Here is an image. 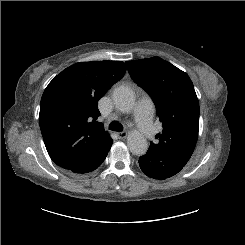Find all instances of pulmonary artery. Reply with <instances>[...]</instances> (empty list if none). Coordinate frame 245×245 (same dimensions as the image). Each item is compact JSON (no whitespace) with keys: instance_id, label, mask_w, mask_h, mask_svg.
<instances>
[{"instance_id":"e3ab8cb5","label":"pulmonary artery","mask_w":245,"mask_h":245,"mask_svg":"<svg viewBox=\"0 0 245 245\" xmlns=\"http://www.w3.org/2000/svg\"><path fill=\"white\" fill-rule=\"evenodd\" d=\"M134 118L138 130L146 138L151 139L156 135V125L153 121L154 104L152 100L145 96L134 108Z\"/></svg>"}]
</instances>
